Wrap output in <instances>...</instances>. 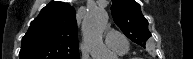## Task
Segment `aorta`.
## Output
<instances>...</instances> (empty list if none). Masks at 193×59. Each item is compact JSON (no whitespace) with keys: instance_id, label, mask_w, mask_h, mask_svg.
Returning <instances> with one entry per match:
<instances>
[{"instance_id":"obj_1","label":"aorta","mask_w":193,"mask_h":59,"mask_svg":"<svg viewBox=\"0 0 193 59\" xmlns=\"http://www.w3.org/2000/svg\"><path fill=\"white\" fill-rule=\"evenodd\" d=\"M108 22V14L104 9H91L83 22L84 37L89 44L94 59H116V55L108 51L103 44V31Z\"/></svg>"}]
</instances>
